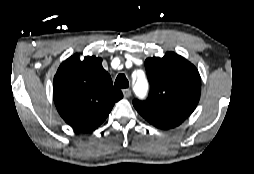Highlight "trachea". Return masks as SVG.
<instances>
[{"label": "trachea", "mask_w": 254, "mask_h": 174, "mask_svg": "<svg viewBox=\"0 0 254 174\" xmlns=\"http://www.w3.org/2000/svg\"><path fill=\"white\" fill-rule=\"evenodd\" d=\"M115 86L119 88H128L129 82L124 74H119L115 80Z\"/></svg>", "instance_id": "trachea-1"}]
</instances>
